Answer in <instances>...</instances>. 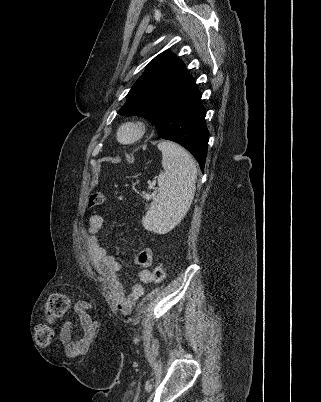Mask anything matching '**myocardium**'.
I'll use <instances>...</instances> for the list:
<instances>
[{
  "label": "myocardium",
  "instance_id": "1",
  "mask_svg": "<svg viewBox=\"0 0 321 402\" xmlns=\"http://www.w3.org/2000/svg\"><path fill=\"white\" fill-rule=\"evenodd\" d=\"M131 131L132 136L128 139L123 138L125 131ZM147 132V123L142 119H131L123 122L117 130V140L124 145H132L140 141Z\"/></svg>",
  "mask_w": 321,
  "mask_h": 402
}]
</instances>
